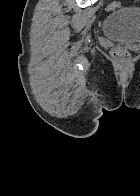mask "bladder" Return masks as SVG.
I'll return each mask as SVG.
<instances>
[{
	"mask_svg": "<svg viewBox=\"0 0 140 196\" xmlns=\"http://www.w3.org/2000/svg\"><path fill=\"white\" fill-rule=\"evenodd\" d=\"M106 32L114 39L140 42V9L129 6L113 11L108 17Z\"/></svg>",
	"mask_w": 140,
	"mask_h": 196,
	"instance_id": "31cf9c89",
	"label": "bladder"
}]
</instances>
